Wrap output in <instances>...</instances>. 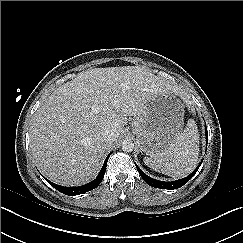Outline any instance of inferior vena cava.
Masks as SVG:
<instances>
[{"label": "inferior vena cava", "instance_id": "602c4592", "mask_svg": "<svg viewBox=\"0 0 243 243\" xmlns=\"http://www.w3.org/2000/svg\"><path fill=\"white\" fill-rule=\"evenodd\" d=\"M103 141L107 144H111L116 139V133L113 129H107L102 134Z\"/></svg>", "mask_w": 243, "mask_h": 243}]
</instances>
